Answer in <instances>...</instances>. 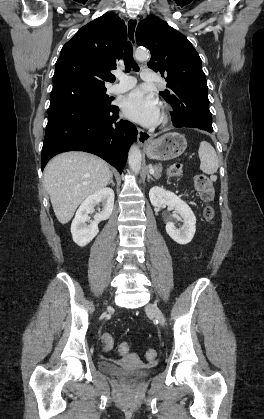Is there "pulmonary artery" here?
<instances>
[{"label": "pulmonary artery", "mask_w": 264, "mask_h": 419, "mask_svg": "<svg viewBox=\"0 0 264 419\" xmlns=\"http://www.w3.org/2000/svg\"><path fill=\"white\" fill-rule=\"evenodd\" d=\"M141 78L144 81L152 82L155 80V74L150 69H144L141 73ZM117 79H118V83L114 84L111 87L110 89L111 93H122V92L128 91L131 88H133L136 84V79L134 77L123 74V73H118Z\"/></svg>", "instance_id": "obj_1"}]
</instances>
